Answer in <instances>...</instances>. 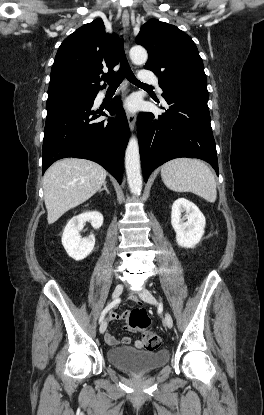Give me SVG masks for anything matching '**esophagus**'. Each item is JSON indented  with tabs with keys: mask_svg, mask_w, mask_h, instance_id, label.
<instances>
[{
	"mask_svg": "<svg viewBox=\"0 0 264 415\" xmlns=\"http://www.w3.org/2000/svg\"><path fill=\"white\" fill-rule=\"evenodd\" d=\"M129 23H130L129 13H128V11H124L123 14H122V24H123L124 30L126 32H128ZM128 48H129L128 44H126V46H125L126 52H128ZM127 119H128L130 130L133 131L134 128H135V124H136V114L128 112L127 113Z\"/></svg>",
	"mask_w": 264,
	"mask_h": 415,
	"instance_id": "1",
	"label": "esophagus"
}]
</instances>
